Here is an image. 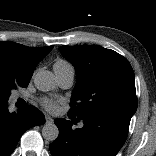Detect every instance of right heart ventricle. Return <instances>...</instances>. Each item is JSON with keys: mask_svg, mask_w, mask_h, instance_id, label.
<instances>
[{"mask_svg": "<svg viewBox=\"0 0 156 156\" xmlns=\"http://www.w3.org/2000/svg\"><path fill=\"white\" fill-rule=\"evenodd\" d=\"M55 64L58 65V66H60V67L70 65L68 62H66V61H64V60H58V61H56Z\"/></svg>", "mask_w": 156, "mask_h": 156, "instance_id": "obj_1", "label": "right heart ventricle"}]
</instances>
